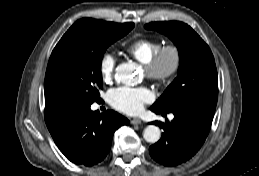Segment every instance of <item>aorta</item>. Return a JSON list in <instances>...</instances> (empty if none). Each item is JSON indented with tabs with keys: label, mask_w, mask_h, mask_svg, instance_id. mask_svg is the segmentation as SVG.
<instances>
[{
	"label": "aorta",
	"mask_w": 259,
	"mask_h": 176,
	"mask_svg": "<svg viewBox=\"0 0 259 176\" xmlns=\"http://www.w3.org/2000/svg\"><path fill=\"white\" fill-rule=\"evenodd\" d=\"M115 78L126 86H134L141 82L138 66L133 62L118 65ZM143 138L148 143L158 142L161 138L160 128L155 125H148L143 131Z\"/></svg>",
	"instance_id": "1"
}]
</instances>
